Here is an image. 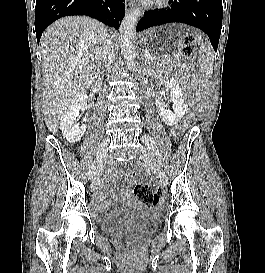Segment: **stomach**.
Here are the masks:
<instances>
[{
	"instance_id": "1",
	"label": "stomach",
	"mask_w": 265,
	"mask_h": 273,
	"mask_svg": "<svg viewBox=\"0 0 265 273\" xmlns=\"http://www.w3.org/2000/svg\"><path fill=\"white\" fill-rule=\"evenodd\" d=\"M191 30V25H156V30H147L142 35L138 49H146L144 55L147 60H169L170 56H179V46Z\"/></svg>"
}]
</instances>
